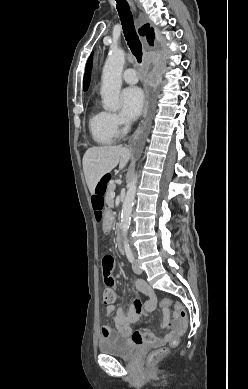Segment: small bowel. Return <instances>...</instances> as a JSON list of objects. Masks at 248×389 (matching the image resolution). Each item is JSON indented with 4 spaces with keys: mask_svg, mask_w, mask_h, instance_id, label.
I'll list each match as a JSON object with an SVG mask.
<instances>
[{
    "mask_svg": "<svg viewBox=\"0 0 248 389\" xmlns=\"http://www.w3.org/2000/svg\"><path fill=\"white\" fill-rule=\"evenodd\" d=\"M134 288L148 296V300L143 304L139 299H134L132 305L129 308H117L115 305V300L106 305V315L110 319V322L102 327V336L103 338L110 334H118L127 339H131L134 343L140 344L146 342L148 346H155L169 338V335L164 338L152 339L148 337L144 339L143 334L140 330L132 332L131 326L140 319L141 312L143 309L146 311H152L157 303L156 295L152 288L141 279H134L133 281ZM118 289V287H117ZM106 291L112 292L117 296V290L112 291L111 286L105 289ZM163 323L161 324V329L172 328L176 326V323L170 319L169 312L164 310L162 313ZM136 338V341L133 339Z\"/></svg>",
    "mask_w": 248,
    "mask_h": 389,
    "instance_id": "c3829d8e",
    "label": "small bowel"
}]
</instances>
